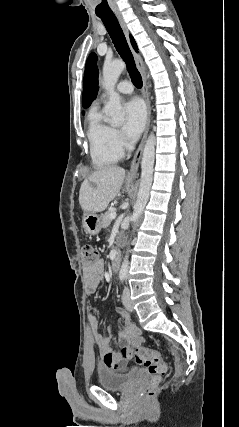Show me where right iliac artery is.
<instances>
[{
    "label": "right iliac artery",
    "mask_w": 239,
    "mask_h": 427,
    "mask_svg": "<svg viewBox=\"0 0 239 427\" xmlns=\"http://www.w3.org/2000/svg\"><path fill=\"white\" fill-rule=\"evenodd\" d=\"M120 279H121V281L124 279V277L122 276V277H120Z\"/></svg>",
    "instance_id": "1"
}]
</instances>
